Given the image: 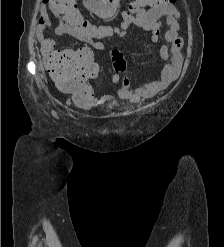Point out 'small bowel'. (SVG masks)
Returning <instances> with one entry per match:
<instances>
[{"mask_svg": "<svg viewBox=\"0 0 224 247\" xmlns=\"http://www.w3.org/2000/svg\"><path fill=\"white\" fill-rule=\"evenodd\" d=\"M57 0H42L40 4V15L38 18V37L41 43V52L46 58L52 55L54 43L45 36V32L52 27L51 15L58 20L55 26V34L71 35L83 42L89 44L98 51L105 49L104 43L99 39H91L80 35L75 28L63 21L61 12L57 5ZM119 0H83L84 5L96 16L101 18H109L113 16ZM180 14L174 4L150 8L148 10H140L130 17V23L151 33V39L154 42L160 40V28L163 22L167 23L169 29L165 32L164 43L162 44L159 56L165 61L164 66L159 71L158 77L148 82L134 86L128 76H122L119 73L112 75V81L119 84V88L114 95H105L96 98L94 105L102 104L114 97L129 99L133 102L139 101L141 98H151L171 86L178 78L183 64V39L179 34L180 30ZM115 28L119 32V36L126 34L127 29L123 23L116 24Z\"/></svg>", "mask_w": 224, "mask_h": 247, "instance_id": "obj_1", "label": "small bowel"}]
</instances>
